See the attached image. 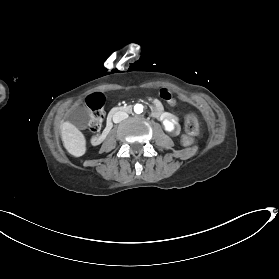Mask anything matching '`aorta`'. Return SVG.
Instances as JSON below:
<instances>
[{
    "label": "aorta",
    "mask_w": 279,
    "mask_h": 279,
    "mask_svg": "<svg viewBox=\"0 0 279 279\" xmlns=\"http://www.w3.org/2000/svg\"><path fill=\"white\" fill-rule=\"evenodd\" d=\"M134 112L137 113V114H140L143 112V105L141 104H136L134 106Z\"/></svg>",
    "instance_id": "aorta-1"
}]
</instances>
